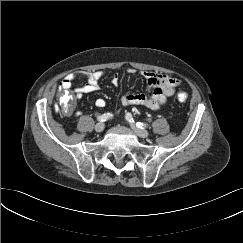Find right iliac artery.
<instances>
[{"label": "right iliac artery", "mask_w": 243, "mask_h": 243, "mask_svg": "<svg viewBox=\"0 0 243 243\" xmlns=\"http://www.w3.org/2000/svg\"><path fill=\"white\" fill-rule=\"evenodd\" d=\"M112 116H113V115H112L111 113H106V114H103V115H101V116H98V117H97V120H98V121H101V122H104V121L110 119Z\"/></svg>", "instance_id": "82829eb1"}]
</instances>
